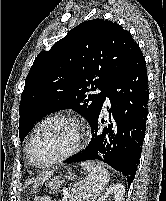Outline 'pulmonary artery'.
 Instances as JSON below:
<instances>
[{
  "instance_id": "1",
  "label": "pulmonary artery",
  "mask_w": 166,
  "mask_h": 201,
  "mask_svg": "<svg viewBox=\"0 0 166 201\" xmlns=\"http://www.w3.org/2000/svg\"><path fill=\"white\" fill-rule=\"evenodd\" d=\"M105 105H109V100H108V98L106 99Z\"/></svg>"
}]
</instances>
